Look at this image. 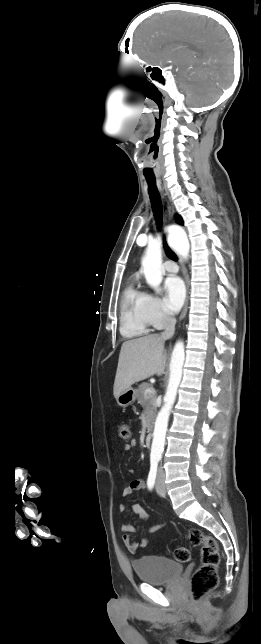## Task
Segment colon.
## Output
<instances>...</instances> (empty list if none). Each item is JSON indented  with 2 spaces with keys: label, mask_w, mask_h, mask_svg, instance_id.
I'll return each mask as SVG.
<instances>
[{
  "label": "colon",
  "mask_w": 261,
  "mask_h": 644,
  "mask_svg": "<svg viewBox=\"0 0 261 644\" xmlns=\"http://www.w3.org/2000/svg\"><path fill=\"white\" fill-rule=\"evenodd\" d=\"M119 437L123 440L131 438L130 426L127 423L120 424ZM188 540L193 546H201V564L190 580V598L197 604L218 584L220 553L217 541L200 529L192 528L188 533ZM174 557L179 562H188L191 557L190 550L179 547L174 551Z\"/></svg>",
  "instance_id": "obj_1"
}]
</instances>
